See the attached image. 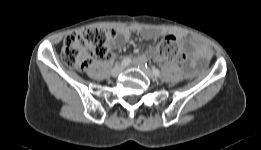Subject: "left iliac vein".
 <instances>
[{
	"instance_id": "1",
	"label": "left iliac vein",
	"mask_w": 261,
	"mask_h": 150,
	"mask_svg": "<svg viewBox=\"0 0 261 150\" xmlns=\"http://www.w3.org/2000/svg\"><path fill=\"white\" fill-rule=\"evenodd\" d=\"M139 67L141 69V71L149 78H154V75L152 73V71L149 68H146L144 64L140 63Z\"/></svg>"
}]
</instances>
